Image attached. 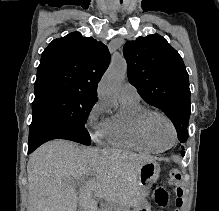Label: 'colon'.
Wrapping results in <instances>:
<instances>
[{
  "mask_svg": "<svg viewBox=\"0 0 219 211\" xmlns=\"http://www.w3.org/2000/svg\"><path fill=\"white\" fill-rule=\"evenodd\" d=\"M181 174L178 170H171L168 174V182L173 187V192L176 196L175 205L177 208L182 206L183 188L181 186ZM175 211H179L178 209Z\"/></svg>",
  "mask_w": 219,
  "mask_h": 211,
  "instance_id": "1",
  "label": "colon"
}]
</instances>
